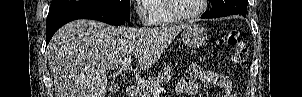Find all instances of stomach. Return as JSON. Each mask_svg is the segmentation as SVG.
<instances>
[{
  "label": "stomach",
  "instance_id": "stomach-1",
  "mask_svg": "<svg viewBox=\"0 0 302 97\" xmlns=\"http://www.w3.org/2000/svg\"><path fill=\"white\" fill-rule=\"evenodd\" d=\"M181 38L187 46L200 47L207 40V32L201 25L190 23L183 29Z\"/></svg>",
  "mask_w": 302,
  "mask_h": 97
}]
</instances>
